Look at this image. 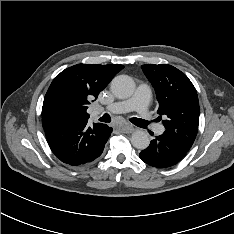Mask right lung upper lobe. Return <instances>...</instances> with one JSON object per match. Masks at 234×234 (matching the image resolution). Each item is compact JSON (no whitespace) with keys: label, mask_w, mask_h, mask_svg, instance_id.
<instances>
[{"label":"right lung upper lobe","mask_w":234,"mask_h":234,"mask_svg":"<svg viewBox=\"0 0 234 234\" xmlns=\"http://www.w3.org/2000/svg\"><path fill=\"white\" fill-rule=\"evenodd\" d=\"M123 65L77 64L63 70L52 81L43 102V128L52 116L64 122L88 119L86 112L91 100L98 97Z\"/></svg>","instance_id":"right-lung-upper-lobe-1"}]
</instances>
